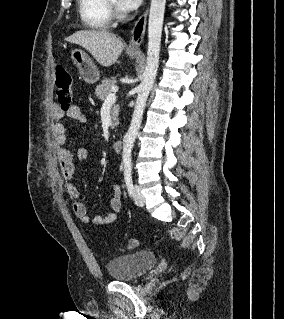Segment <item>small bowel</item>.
Wrapping results in <instances>:
<instances>
[{
  "instance_id": "obj_1",
  "label": "small bowel",
  "mask_w": 284,
  "mask_h": 319,
  "mask_svg": "<svg viewBox=\"0 0 284 319\" xmlns=\"http://www.w3.org/2000/svg\"><path fill=\"white\" fill-rule=\"evenodd\" d=\"M53 136L56 145V154L62 174L66 179V188L69 196L73 199L72 210L75 216L84 224L108 225L117 219V214L122 207V191L119 186L113 185L110 197V211L102 215L90 216L85 203L79 199L80 191L74 181L75 165L72 152L67 148V129L62 122L63 117L71 118L78 122H85L86 117L78 104L72 105L67 111L57 106L52 109ZM79 161L88 158V151L79 148L76 153Z\"/></svg>"
}]
</instances>
